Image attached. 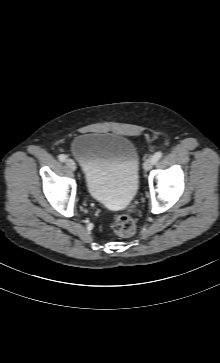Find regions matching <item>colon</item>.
<instances>
[{
    "instance_id": "1",
    "label": "colon",
    "mask_w": 220,
    "mask_h": 363,
    "mask_svg": "<svg viewBox=\"0 0 220 363\" xmlns=\"http://www.w3.org/2000/svg\"><path fill=\"white\" fill-rule=\"evenodd\" d=\"M112 227L121 237H129L136 231L135 221L128 215H119L112 221Z\"/></svg>"
}]
</instances>
